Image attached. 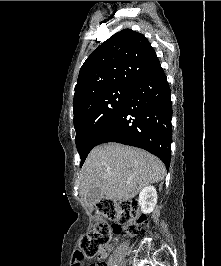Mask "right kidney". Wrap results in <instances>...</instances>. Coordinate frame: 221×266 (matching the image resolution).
Here are the masks:
<instances>
[{"label": "right kidney", "mask_w": 221, "mask_h": 266, "mask_svg": "<svg viewBox=\"0 0 221 266\" xmlns=\"http://www.w3.org/2000/svg\"><path fill=\"white\" fill-rule=\"evenodd\" d=\"M139 205L143 213L153 211L157 203V191L153 186L144 187L139 194Z\"/></svg>", "instance_id": "right-kidney-1"}]
</instances>
